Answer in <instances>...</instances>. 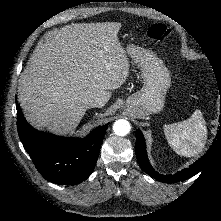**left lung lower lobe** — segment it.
Masks as SVG:
<instances>
[{"label":"left lung lower lobe","mask_w":221,"mask_h":221,"mask_svg":"<svg viewBox=\"0 0 221 221\" xmlns=\"http://www.w3.org/2000/svg\"><path fill=\"white\" fill-rule=\"evenodd\" d=\"M217 142H221V115H220V126H219V133L216 140ZM215 144V146H216ZM215 148V147H214ZM212 150H214L212 147L208 150L207 154L201 157L198 161H196L193 165H191L189 168L184 169L182 171L177 172L174 175H162L156 172L147 157L146 153V145H145V139L140 130H136V157L137 161L142 168L144 172H146L151 177L155 178L158 181L164 182V183H172L177 181H182L187 178H190L194 175H196L198 172H200L203 167L205 166L209 156L212 153Z\"/></svg>","instance_id":"obj_1"}]
</instances>
